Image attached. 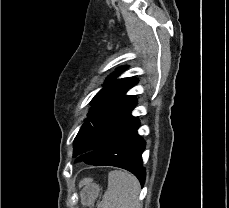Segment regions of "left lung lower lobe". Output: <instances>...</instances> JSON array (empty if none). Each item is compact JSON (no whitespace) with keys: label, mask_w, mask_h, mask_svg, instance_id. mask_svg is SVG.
I'll return each instance as SVG.
<instances>
[{"label":"left lung lower lobe","mask_w":229,"mask_h":208,"mask_svg":"<svg viewBox=\"0 0 229 208\" xmlns=\"http://www.w3.org/2000/svg\"><path fill=\"white\" fill-rule=\"evenodd\" d=\"M139 121L131 129H108L97 132L74 147L73 157L85 153L76 162L94 166H115L134 174L144 186L146 172L142 153L145 141L137 134ZM87 152V153H86Z\"/></svg>","instance_id":"obj_1"}]
</instances>
